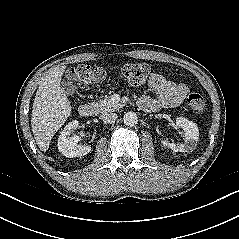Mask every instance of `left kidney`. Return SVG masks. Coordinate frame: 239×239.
Instances as JSON below:
<instances>
[{
    "label": "left kidney",
    "mask_w": 239,
    "mask_h": 239,
    "mask_svg": "<svg viewBox=\"0 0 239 239\" xmlns=\"http://www.w3.org/2000/svg\"><path fill=\"white\" fill-rule=\"evenodd\" d=\"M176 124L184 130V143L177 145L175 143H170L168 139H164L162 140V144L174 152H192L195 150L199 139V130L197 125L183 117L176 118Z\"/></svg>",
    "instance_id": "5707ae66"
}]
</instances>
